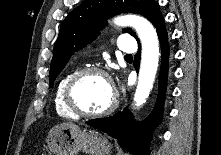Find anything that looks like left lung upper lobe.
Listing matches in <instances>:
<instances>
[{"label":"left lung upper lobe","instance_id":"1","mask_svg":"<svg viewBox=\"0 0 221 155\" xmlns=\"http://www.w3.org/2000/svg\"><path fill=\"white\" fill-rule=\"evenodd\" d=\"M158 5L155 0H84L61 24L51 61L50 87L70 56L97 37L107 18L118 13L132 12L148 19ZM123 32L136 37L131 29L125 28Z\"/></svg>","mask_w":221,"mask_h":155}]
</instances>
